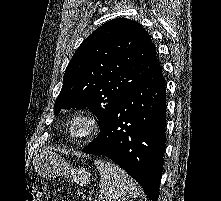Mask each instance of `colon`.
Returning <instances> with one entry per match:
<instances>
[{
    "instance_id": "5ec220e1",
    "label": "colon",
    "mask_w": 221,
    "mask_h": 201,
    "mask_svg": "<svg viewBox=\"0 0 221 201\" xmlns=\"http://www.w3.org/2000/svg\"><path fill=\"white\" fill-rule=\"evenodd\" d=\"M43 195H49L48 185L43 182L40 187H29L25 191L24 201H39Z\"/></svg>"
}]
</instances>
